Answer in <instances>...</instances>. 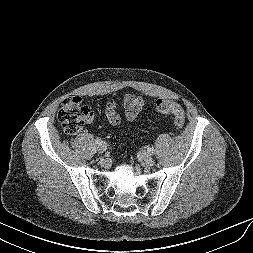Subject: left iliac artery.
I'll return each mask as SVG.
<instances>
[{
  "label": "left iliac artery",
  "mask_w": 253,
  "mask_h": 253,
  "mask_svg": "<svg viewBox=\"0 0 253 253\" xmlns=\"http://www.w3.org/2000/svg\"><path fill=\"white\" fill-rule=\"evenodd\" d=\"M147 150L150 151L151 153H154V148L153 147H148Z\"/></svg>",
  "instance_id": "44dca946"
}]
</instances>
